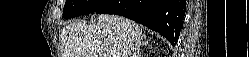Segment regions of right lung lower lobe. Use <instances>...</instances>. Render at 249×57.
<instances>
[{
  "mask_svg": "<svg viewBox=\"0 0 249 57\" xmlns=\"http://www.w3.org/2000/svg\"><path fill=\"white\" fill-rule=\"evenodd\" d=\"M96 13L123 15L159 32L175 45L183 26L185 0H109Z\"/></svg>",
  "mask_w": 249,
  "mask_h": 57,
  "instance_id": "1",
  "label": "right lung lower lobe"
}]
</instances>
